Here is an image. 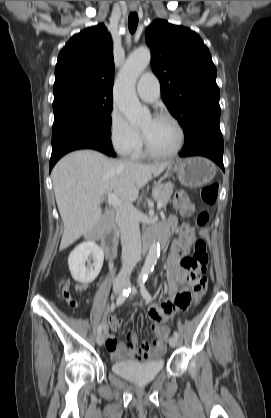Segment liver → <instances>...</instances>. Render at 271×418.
Returning a JSON list of instances; mask_svg holds the SVG:
<instances>
[{"label": "liver", "mask_w": 271, "mask_h": 418, "mask_svg": "<svg viewBox=\"0 0 271 418\" xmlns=\"http://www.w3.org/2000/svg\"><path fill=\"white\" fill-rule=\"evenodd\" d=\"M167 166L169 162L143 164L109 159L93 150L64 156L52 170L53 190L64 223L60 250L91 232L102 219L104 195L113 193L122 203L131 202Z\"/></svg>", "instance_id": "obj_1"}]
</instances>
